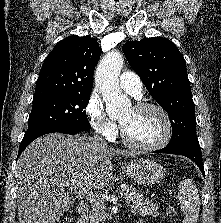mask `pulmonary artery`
<instances>
[{
  "mask_svg": "<svg viewBox=\"0 0 221 223\" xmlns=\"http://www.w3.org/2000/svg\"><path fill=\"white\" fill-rule=\"evenodd\" d=\"M121 88L134 97H140L142 90V81L138 75L133 72L125 71L119 78Z\"/></svg>",
  "mask_w": 221,
  "mask_h": 223,
  "instance_id": "1",
  "label": "pulmonary artery"
}]
</instances>
